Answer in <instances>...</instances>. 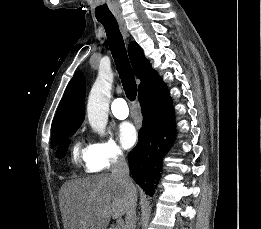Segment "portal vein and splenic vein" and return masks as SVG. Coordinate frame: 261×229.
I'll list each match as a JSON object with an SVG mask.
<instances>
[{
  "instance_id": "obj_1",
  "label": "portal vein and splenic vein",
  "mask_w": 261,
  "mask_h": 229,
  "mask_svg": "<svg viewBox=\"0 0 261 229\" xmlns=\"http://www.w3.org/2000/svg\"><path fill=\"white\" fill-rule=\"evenodd\" d=\"M121 227H122V225H121ZM121 227H116V229H121Z\"/></svg>"
}]
</instances>
